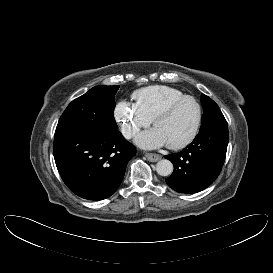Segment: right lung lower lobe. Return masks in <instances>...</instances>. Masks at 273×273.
Segmentation results:
<instances>
[{
  "label": "right lung lower lobe",
  "instance_id": "obj_1",
  "mask_svg": "<svg viewBox=\"0 0 273 273\" xmlns=\"http://www.w3.org/2000/svg\"><path fill=\"white\" fill-rule=\"evenodd\" d=\"M53 153L59 174L73 193L102 200L121 184L136 148L119 131L86 130L55 134Z\"/></svg>",
  "mask_w": 273,
  "mask_h": 273
}]
</instances>
